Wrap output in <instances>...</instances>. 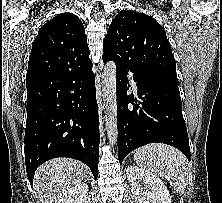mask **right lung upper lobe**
Listing matches in <instances>:
<instances>
[{
    "instance_id": "cb5924a9",
    "label": "right lung upper lobe",
    "mask_w": 222,
    "mask_h": 203,
    "mask_svg": "<svg viewBox=\"0 0 222 203\" xmlns=\"http://www.w3.org/2000/svg\"><path fill=\"white\" fill-rule=\"evenodd\" d=\"M81 20L63 13L44 24L32 44L26 83L55 73L83 70L92 65Z\"/></svg>"
}]
</instances>
